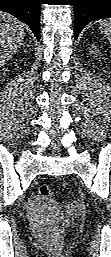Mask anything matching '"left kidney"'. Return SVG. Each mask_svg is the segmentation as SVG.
<instances>
[{
    "label": "left kidney",
    "instance_id": "left-kidney-1",
    "mask_svg": "<svg viewBox=\"0 0 111 257\" xmlns=\"http://www.w3.org/2000/svg\"><path fill=\"white\" fill-rule=\"evenodd\" d=\"M91 49H92L91 52H92L94 55H96V54L98 53V50H97L95 47H93V45H92Z\"/></svg>",
    "mask_w": 111,
    "mask_h": 257
}]
</instances>
